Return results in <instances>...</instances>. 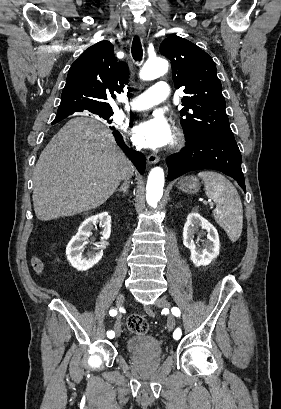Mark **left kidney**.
<instances>
[{
  "label": "left kidney",
  "mask_w": 281,
  "mask_h": 409,
  "mask_svg": "<svg viewBox=\"0 0 281 409\" xmlns=\"http://www.w3.org/2000/svg\"><path fill=\"white\" fill-rule=\"evenodd\" d=\"M198 227H202L207 233V241L204 243L203 249H200L199 245H196L194 241V235L196 231H198ZM183 245H185L187 249H190V259L196 267L209 265L212 259H216L219 255V235L215 227H213L211 223H208L204 217L199 215L197 209L191 211L187 217L183 229Z\"/></svg>",
  "instance_id": "5707ae66"
}]
</instances>
